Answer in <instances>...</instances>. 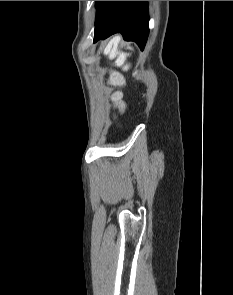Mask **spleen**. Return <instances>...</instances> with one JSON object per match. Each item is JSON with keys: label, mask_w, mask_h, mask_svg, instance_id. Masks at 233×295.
Returning a JSON list of instances; mask_svg holds the SVG:
<instances>
[{"label": "spleen", "mask_w": 233, "mask_h": 295, "mask_svg": "<svg viewBox=\"0 0 233 295\" xmlns=\"http://www.w3.org/2000/svg\"><path fill=\"white\" fill-rule=\"evenodd\" d=\"M119 41L120 39L118 37L113 38L104 51L105 54L109 53L111 59L118 55L116 60L117 65L122 64L125 60V55L118 52Z\"/></svg>", "instance_id": "1"}]
</instances>
